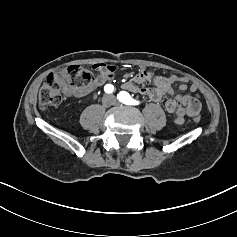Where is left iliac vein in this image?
<instances>
[{
  "label": "left iliac vein",
  "mask_w": 237,
  "mask_h": 237,
  "mask_svg": "<svg viewBox=\"0 0 237 237\" xmlns=\"http://www.w3.org/2000/svg\"><path fill=\"white\" fill-rule=\"evenodd\" d=\"M112 96V95H111ZM114 98V102L113 105H119V102L116 100V98L114 96H112Z\"/></svg>",
  "instance_id": "left-iliac-vein-1"
}]
</instances>
